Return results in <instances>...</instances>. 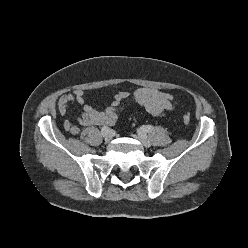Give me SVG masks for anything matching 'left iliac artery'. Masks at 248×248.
<instances>
[{
	"label": "left iliac artery",
	"mask_w": 248,
	"mask_h": 248,
	"mask_svg": "<svg viewBox=\"0 0 248 248\" xmlns=\"http://www.w3.org/2000/svg\"><path fill=\"white\" fill-rule=\"evenodd\" d=\"M153 130V126L151 125H144L142 126L140 129H139V132H142V133H149V132H152Z\"/></svg>",
	"instance_id": "obj_1"
}]
</instances>
